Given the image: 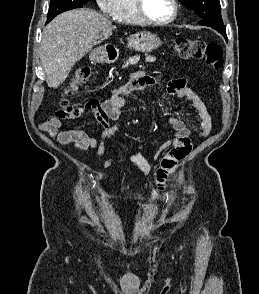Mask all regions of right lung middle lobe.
I'll list each match as a JSON object with an SVG mask.
<instances>
[{
	"label": "right lung middle lobe",
	"mask_w": 259,
	"mask_h": 294,
	"mask_svg": "<svg viewBox=\"0 0 259 294\" xmlns=\"http://www.w3.org/2000/svg\"><path fill=\"white\" fill-rule=\"evenodd\" d=\"M90 0H51L50 7L47 16V23L51 21L58 14L82 7V4H86Z\"/></svg>",
	"instance_id": "1"
}]
</instances>
